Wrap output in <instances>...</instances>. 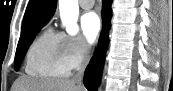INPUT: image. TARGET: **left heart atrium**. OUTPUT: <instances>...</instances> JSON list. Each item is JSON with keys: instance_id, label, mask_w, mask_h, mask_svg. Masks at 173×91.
<instances>
[{"instance_id": "39dd6f15", "label": "left heart atrium", "mask_w": 173, "mask_h": 91, "mask_svg": "<svg viewBox=\"0 0 173 91\" xmlns=\"http://www.w3.org/2000/svg\"><path fill=\"white\" fill-rule=\"evenodd\" d=\"M81 29L88 43H93L99 35L101 23L95 12H87L81 17Z\"/></svg>"}]
</instances>
